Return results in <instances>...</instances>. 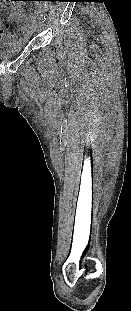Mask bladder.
Returning a JSON list of instances; mask_svg holds the SVG:
<instances>
[{"label":"bladder","mask_w":131,"mask_h":311,"mask_svg":"<svg viewBox=\"0 0 131 311\" xmlns=\"http://www.w3.org/2000/svg\"><path fill=\"white\" fill-rule=\"evenodd\" d=\"M27 40L19 36L0 39V61L8 60L20 53L26 46Z\"/></svg>","instance_id":"obj_1"}]
</instances>
